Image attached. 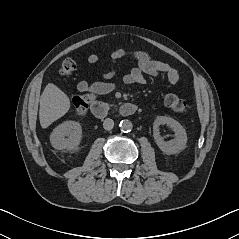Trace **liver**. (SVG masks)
I'll list each match as a JSON object with an SVG mask.
<instances>
[{
	"label": "liver",
	"instance_id": "1",
	"mask_svg": "<svg viewBox=\"0 0 239 239\" xmlns=\"http://www.w3.org/2000/svg\"><path fill=\"white\" fill-rule=\"evenodd\" d=\"M70 109L69 97L55 84L48 83L40 98L39 120L42 128L64 116Z\"/></svg>",
	"mask_w": 239,
	"mask_h": 239
}]
</instances>
